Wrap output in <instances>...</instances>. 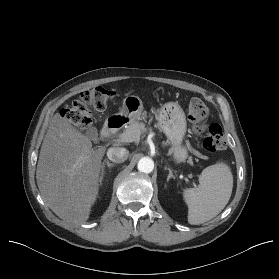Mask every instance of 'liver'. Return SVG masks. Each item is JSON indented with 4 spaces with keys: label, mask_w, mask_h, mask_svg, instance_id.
Instances as JSON below:
<instances>
[{
    "label": "liver",
    "mask_w": 279,
    "mask_h": 279,
    "mask_svg": "<svg viewBox=\"0 0 279 279\" xmlns=\"http://www.w3.org/2000/svg\"><path fill=\"white\" fill-rule=\"evenodd\" d=\"M105 149L55 114L43 140L36 180L44 202L64 222L78 226L89 218L99 191Z\"/></svg>",
    "instance_id": "1"
}]
</instances>
